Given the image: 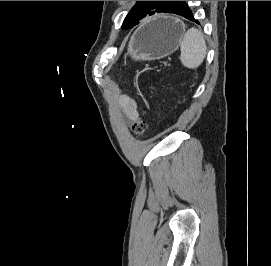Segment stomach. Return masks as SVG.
Masks as SVG:
<instances>
[{
  "label": "stomach",
  "instance_id": "stomach-1",
  "mask_svg": "<svg viewBox=\"0 0 271 266\" xmlns=\"http://www.w3.org/2000/svg\"><path fill=\"white\" fill-rule=\"evenodd\" d=\"M184 30L183 23L176 18L156 17L134 32L128 53L136 61L164 58L177 50Z\"/></svg>",
  "mask_w": 271,
  "mask_h": 266
}]
</instances>
